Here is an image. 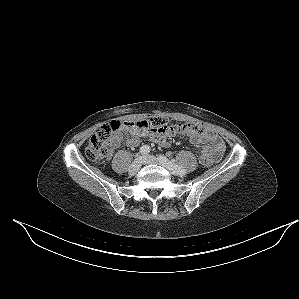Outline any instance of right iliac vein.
Returning <instances> with one entry per match:
<instances>
[{"mask_svg": "<svg viewBox=\"0 0 299 299\" xmlns=\"http://www.w3.org/2000/svg\"><path fill=\"white\" fill-rule=\"evenodd\" d=\"M142 164V157L136 158L131 166L129 167V174L130 175H135L141 168Z\"/></svg>", "mask_w": 299, "mask_h": 299, "instance_id": "1", "label": "right iliac vein"}]
</instances>
